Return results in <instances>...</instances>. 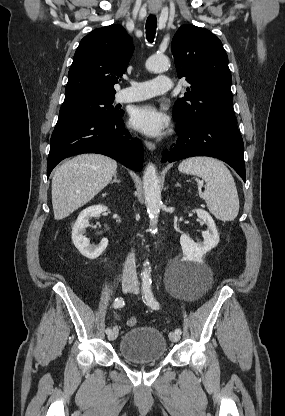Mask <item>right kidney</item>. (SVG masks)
<instances>
[{
  "label": "right kidney",
  "mask_w": 285,
  "mask_h": 416,
  "mask_svg": "<svg viewBox=\"0 0 285 416\" xmlns=\"http://www.w3.org/2000/svg\"><path fill=\"white\" fill-rule=\"evenodd\" d=\"M106 206H89L86 210L80 212L73 228H72V240L75 248L79 250L82 256L89 258V260H96L101 256L102 252L106 250L108 246L107 238L101 240L99 246H91L88 238H85V228L89 226L90 218H99L102 212H107Z\"/></svg>",
  "instance_id": "right-kidney-1"
}]
</instances>
